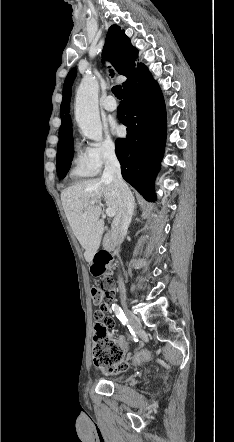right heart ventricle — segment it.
<instances>
[{"label":"right heart ventricle","instance_id":"e07e8e85","mask_svg":"<svg viewBox=\"0 0 234 442\" xmlns=\"http://www.w3.org/2000/svg\"><path fill=\"white\" fill-rule=\"evenodd\" d=\"M97 172L90 159L88 150L80 145H76L71 161L70 176L74 179H86L95 176Z\"/></svg>","mask_w":234,"mask_h":442}]
</instances>
